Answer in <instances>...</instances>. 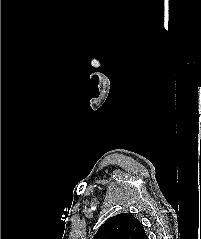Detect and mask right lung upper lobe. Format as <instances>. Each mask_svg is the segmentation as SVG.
<instances>
[{"label":"right lung upper lobe","mask_w":201,"mask_h":239,"mask_svg":"<svg viewBox=\"0 0 201 239\" xmlns=\"http://www.w3.org/2000/svg\"><path fill=\"white\" fill-rule=\"evenodd\" d=\"M92 239H148V237L143 225L131 213H122L107 219Z\"/></svg>","instance_id":"obj_1"}]
</instances>
